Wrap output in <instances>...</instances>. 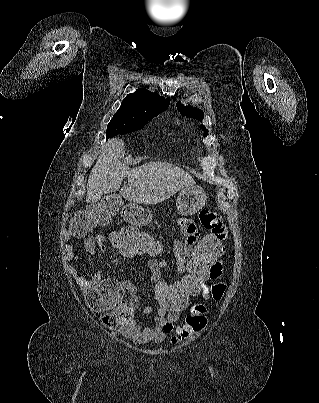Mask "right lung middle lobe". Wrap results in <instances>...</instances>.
Here are the masks:
<instances>
[{
	"label": "right lung middle lobe",
	"instance_id": "dd1d6c3e",
	"mask_svg": "<svg viewBox=\"0 0 319 403\" xmlns=\"http://www.w3.org/2000/svg\"><path fill=\"white\" fill-rule=\"evenodd\" d=\"M154 117L155 116L148 119L138 120L115 113L107 126L106 138H111L116 135H123L136 131L142 128L149 120L153 119Z\"/></svg>",
	"mask_w": 319,
	"mask_h": 403
}]
</instances>
